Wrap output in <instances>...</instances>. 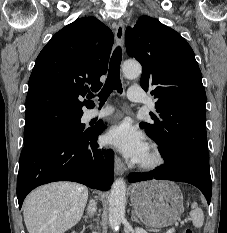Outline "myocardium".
Listing matches in <instances>:
<instances>
[{"label":"myocardium","instance_id":"myocardium-1","mask_svg":"<svg viewBox=\"0 0 227 233\" xmlns=\"http://www.w3.org/2000/svg\"><path fill=\"white\" fill-rule=\"evenodd\" d=\"M149 157L146 160H140L137 162V167L146 172L155 171L162 167L165 163V156L156 143H150L148 145Z\"/></svg>","mask_w":227,"mask_h":233}]
</instances>
